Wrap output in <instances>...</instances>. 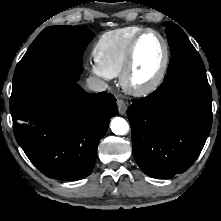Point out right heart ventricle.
Instances as JSON below:
<instances>
[{"label": "right heart ventricle", "instance_id": "1", "mask_svg": "<svg viewBox=\"0 0 221 221\" xmlns=\"http://www.w3.org/2000/svg\"><path fill=\"white\" fill-rule=\"evenodd\" d=\"M143 27L127 26L103 33L97 40L93 54L96 62L111 77L121 74L127 50Z\"/></svg>", "mask_w": 221, "mask_h": 221}]
</instances>
